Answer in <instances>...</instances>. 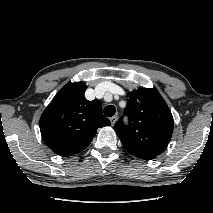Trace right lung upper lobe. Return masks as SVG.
<instances>
[{
    "mask_svg": "<svg viewBox=\"0 0 213 213\" xmlns=\"http://www.w3.org/2000/svg\"><path fill=\"white\" fill-rule=\"evenodd\" d=\"M86 88L83 82L65 85L41 115L39 125L43 141L62 157L84 150L97 128L110 125L102 113L101 102L85 98Z\"/></svg>",
    "mask_w": 213,
    "mask_h": 213,
    "instance_id": "obj_1",
    "label": "right lung upper lobe"
}]
</instances>
